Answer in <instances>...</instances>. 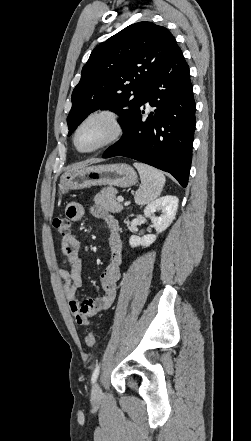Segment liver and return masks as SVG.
I'll use <instances>...</instances> for the list:
<instances>
[{
    "label": "liver",
    "instance_id": "1",
    "mask_svg": "<svg viewBox=\"0 0 251 441\" xmlns=\"http://www.w3.org/2000/svg\"><path fill=\"white\" fill-rule=\"evenodd\" d=\"M92 162H95V161H92ZM84 166H86V163H84V164H82V165H79V166H77L75 169H77V168H81V167H84Z\"/></svg>",
    "mask_w": 251,
    "mask_h": 441
}]
</instances>
